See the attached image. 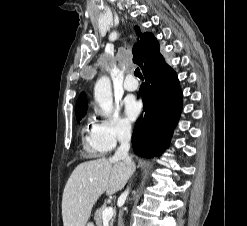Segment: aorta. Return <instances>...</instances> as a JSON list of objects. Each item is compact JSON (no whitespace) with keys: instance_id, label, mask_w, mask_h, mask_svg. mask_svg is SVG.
Returning <instances> with one entry per match:
<instances>
[{"instance_id":"aorta-1","label":"aorta","mask_w":247,"mask_h":226,"mask_svg":"<svg viewBox=\"0 0 247 226\" xmlns=\"http://www.w3.org/2000/svg\"><path fill=\"white\" fill-rule=\"evenodd\" d=\"M94 98L105 115L112 112L113 95L109 77H100L94 87Z\"/></svg>"}]
</instances>
